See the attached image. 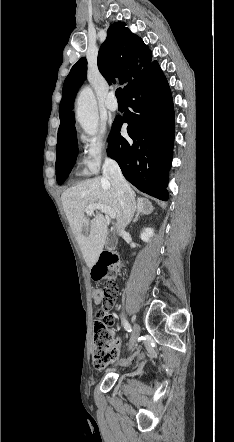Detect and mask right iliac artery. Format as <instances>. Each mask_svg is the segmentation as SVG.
Listing matches in <instances>:
<instances>
[{
    "instance_id": "right-iliac-artery-1",
    "label": "right iliac artery",
    "mask_w": 234,
    "mask_h": 442,
    "mask_svg": "<svg viewBox=\"0 0 234 442\" xmlns=\"http://www.w3.org/2000/svg\"><path fill=\"white\" fill-rule=\"evenodd\" d=\"M122 323H123V325H124V328H125V330L127 331V332H131V326H130V324L128 323V321L127 320H125L124 318H122Z\"/></svg>"
}]
</instances>
